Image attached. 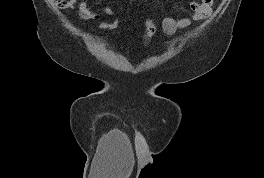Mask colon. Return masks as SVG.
I'll return each instance as SVG.
<instances>
[{
  "label": "colon",
  "instance_id": "1",
  "mask_svg": "<svg viewBox=\"0 0 264 178\" xmlns=\"http://www.w3.org/2000/svg\"><path fill=\"white\" fill-rule=\"evenodd\" d=\"M55 4L64 10H69L74 7V4L76 0H54ZM119 26V21L117 19L115 20H108L104 21L101 24V27L104 31L110 32L117 29ZM158 28V22L154 18H148L144 24V30H143V39L145 42H148L154 33L157 31Z\"/></svg>",
  "mask_w": 264,
  "mask_h": 178
}]
</instances>
